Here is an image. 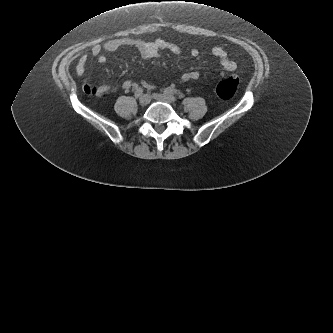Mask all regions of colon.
I'll return each mask as SVG.
<instances>
[{
    "label": "colon",
    "instance_id": "1",
    "mask_svg": "<svg viewBox=\"0 0 333 333\" xmlns=\"http://www.w3.org/2000/svg\"><path fill=\"white\" fill-rule=\"evenodd\" d=\"M240 85V78L238 76H231L221 80L216 86V93L222 99L232 98Z\"/></svg>",
    "mask_w": 333,
    "mask_h": 333
}]
</instances>
